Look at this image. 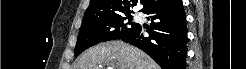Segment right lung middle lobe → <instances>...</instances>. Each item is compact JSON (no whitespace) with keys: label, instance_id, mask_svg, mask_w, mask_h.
I'll return each instance as SVG.
<instances>
[{"label":"right lung middle lobe","instance_id":"obj_1","mask_svg":"<svg viewBox=\"0 0 246 69\" xmlns=\"http://www.w3.org/2000/svg\"><path fill=\"white\" fill-rule=\"evenodd\" d=\"M132 15H112L94 21H83L75 47V56L98 43L120 39L139 24Z\"/></svg>","mask_w":246,"mask_h":69}]
</instances>
